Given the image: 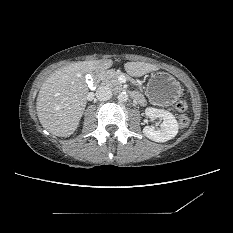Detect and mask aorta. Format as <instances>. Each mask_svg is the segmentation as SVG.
<instances>
[{"label": "aorta", "instance_id": "obj_1", "mask_svg": "<svg viewBox=\"0 0 233 233\" xmlns=\"http://www.w3.org/2000/svg\"><path fill=\"white\" fill-rule=\"evenodd\" d=\"M117 98L120 102H126L128 100V95L126 92H121Z\"/></svg>", "mask_w": 233, "mask_h": 233}]
</instances>
